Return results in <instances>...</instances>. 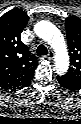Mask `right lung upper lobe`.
<instances>
[{
    "instance_id": "1",
    "label": "right lung upper lobe",
    "mask_w": 81,
    "mask_h": 124,
    "mask_svg": "<svg viewBox=\"0 0 81 124\" xmlns=\"http://www.w3.org/2000/svg\"><path fill=\"white\" fill-rule=\"evenodd\" d=\"M28 20L21 9H12L0 17V87L5 90L27 85L38 65V58L21 41Z\"/></svg>"
}]
</instances>
